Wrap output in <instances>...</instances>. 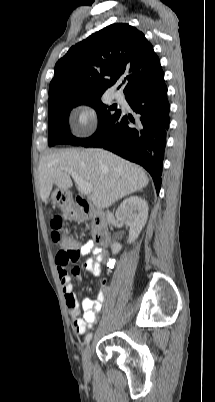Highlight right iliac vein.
I'll return each instance as SVG.
<instances>
[{"label":"right iliac vein","mask_w":215,"mask_h":402,"mask_svg":"<svg viewBox=\"0 0 215 402\" xmlns=\"http://www.w3.org/2000/svg\"><path fill=\"white\" fill-rule=\"evenodd\" d=\"M92 347H93L92 344H88L83 353L82 364L83 369L86 373H89L90 371Z\"/></svg>","instance_id":"right-iliac-vein-1"}]
</instances>
